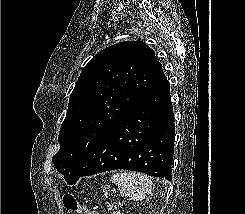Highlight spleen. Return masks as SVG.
Wrapping results in <instances>:
<instances>
[{
  "label": "spleen",
  "instance_id": "spleen-1",
  "mask_svg": "<svg viewBox=\"0 0 245 214\" xmlns=\"http://www.w3.org/2000/svg\"><path fill=\"white\" fill-rule=\"evenodd\" d=\"M118 185L120 194L134 201L144 199L152 189L151 179L142 173L124 171L116 173L111 178Z\"/></svg>",
  "mask_w": 245,
  "mask_h": 214
}]
</instances>
